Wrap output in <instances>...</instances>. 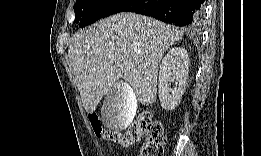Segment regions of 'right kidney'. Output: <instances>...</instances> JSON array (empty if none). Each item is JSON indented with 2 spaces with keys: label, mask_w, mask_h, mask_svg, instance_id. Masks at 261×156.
I'll return each mask as SVG.
<instances>
[{
  "label": "right kidney",
  "mask_w": 261,
  "mask_h": 156,
  "mask_svg": "<svg viewBox=\"0 0 261 156\" xmlns=\"http://www.w3.org/2000/svg\"><path fill=\"white\" fill-rule=\"evenodd\" d=\"M188 72L187 51L182 47L170 49L160 65L158 81L159 100L165 110H172L180 103L186 89ZM171 83H174L172 88Z\"/></svg>",
  "instance_id": "1"
}]
</instances>
